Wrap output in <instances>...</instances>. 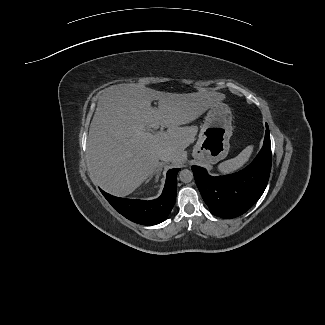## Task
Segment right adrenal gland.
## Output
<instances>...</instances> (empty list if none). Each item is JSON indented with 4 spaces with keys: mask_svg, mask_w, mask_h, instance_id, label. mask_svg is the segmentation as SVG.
<instances>
[{
    "mask_svg": "<svg viewBox=\"0 0 325 325\" xmlns=\"http://www.w3.org/2000/svg\"><path fill=\"white\" fill-rule=\"evenodd\" d=\"M164 165H165V162H160V163L158 164V167H157V169H156L155 172H154V175H156V176H155V180H156V181L159 179V177H160V175H161L162 167H163ZM152 177H153V174L151 175L150 178H152Z\"/></svg>",
    "mask_w": 325,
    "mask_h": 325,
    "instance_id": "obj_1",
    "label": "right adrenal gland"
}]
</instances>
